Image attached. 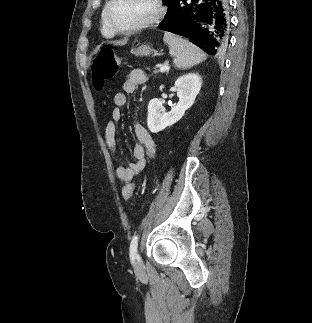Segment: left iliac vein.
<instances>
[{"label":"left iliac vein","instance_id":"4c4485c4","mask_svg":"<svg viewBox=\"0 0 312 323\" xmlns=\"http://www.w3.org/2000/svg\"><path fill=\"white\" fill-rule=\"evenodd\" d=\"M140 260L139 259H137V262H135V270L136 271H139L140 270V268H141V265H140V262H139Z\"/></svg>","mask_w":312,"mask_h":323}]
</instances>
